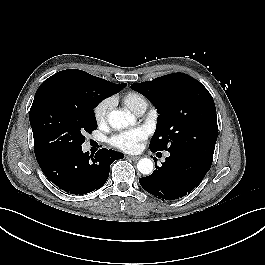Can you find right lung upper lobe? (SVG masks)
I'll return each instance as SVG.
<instances>
[{"instance_id":"cb5924a9","label":"right lung upper lobe","mask_w":265,"mask_h":265,"mask_svg":"<svg viewBox=\"0 0 265 265\" xmlns=\"http://www.w3.org/2000/svg\"><path fill=\"white\" fill-rule=\"evenodd\" d=\"M125 86L126 83L114 84L99 77H90L88 73L81 70L68 69L46 79L37 93L43 90H54L71 98H81L92 92H102L109 97Z\"/></svg>"}]
</instances>
